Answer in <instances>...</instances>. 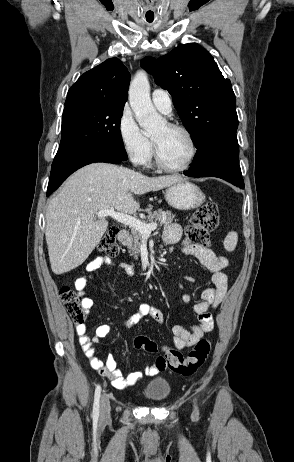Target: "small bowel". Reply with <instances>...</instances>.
I'll use <instances>...</instances> for the list:
<instances>
[{"instance_id": "1", "label": "small bowel", "mask_w": 294, "mask_h": 462, "mask_svg": "<svg viewBox=\"0 0 294 462\" xmlns=\"http://www.w3.org/2000/svg\"><path fill=\"white\" fill-rule=\"evenodd\" d=\"M181 235V227L178 224H171L165 229L163 239L166 244H175L180 241ZM181 251L186 255L197 257L212 273L213 286L202 291L201 300L193 307L199 324L193 325L190 330H187L181 325L173 326V343L178 350H184L195 345L205 333L212 330L213 319L210 310L215 309L222 302L226 295L228 285L227 274L225 272L228 261L225 257L216 255L210 249H203L195 246L188 239L182 241ZM114 264V261L109 257H97L86 266L88 275H83L76 279L75 288L78 294L83 297V306L87 313L93 306V300L86 297L89 279H91L100 268L112 266ZM120 266L123 267L129 275L133 274V269L130 266L125 264H120ZM183 300L188 302L190 300L189 295L185 294ZM147 316L151 317L159 324L163 323V313L159 308L149 303H141L137 312L129 318L121 320V324L125 328H130L138 325ZM110 331V325L105 323L97 326L93 335L87 333L85 324L77 325L76 327L79 344L89 360L91 367L100 375L107 377L111 381L113 387L123 389L136 384L144 374L147 376H154L163 371L159 369L154 362L143 371H133L128 375H124L122 370L118 368L117 360L112 353H109L105 359L99 358L96 355L95 344L102 338L108 336Z\"/></svg>"}]
</instances>
